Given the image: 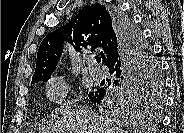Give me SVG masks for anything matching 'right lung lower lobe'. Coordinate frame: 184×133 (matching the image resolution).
Segmentation results:
<instances>
[{"label": "right lung lower lobe", "mask_w": 184, "mask_h": 133, "mask_svg": "<svg viewBox=\"0 0 184 133\" xmlns=\"http://www.w3.org/2000/svg\"><path fill=\"white\" fill-rule=\"evenodd\" d=\"M111 13L115 28L121 39V48L117 55L107 64V67L109 68V73L116 78L114 84L118 86V89L112 92L111 95L103 88L98 89L96 92H90L88 94L89 99L100 105L111 104L113 96L117 98L125 95L132 81L141 79L144 64L141 57L142 53H140V51L144 50V47L133 36L126 16L118 10H112Z\"/></svg>", "instance_id": "obj_1"}]
</instances>
